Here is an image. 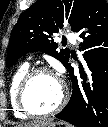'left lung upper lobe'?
I'll use <instances>...</instances> for the list:
<instances>
[{"mask_svg":"<svg viewBox=\"0 0 108 127\" xmlns=\"http://www.w3.org/2000/svg\"><path fill=\"white\" fill-rule=\"evenodd\" d=\"M84 2L85 0H37L24 11L11 34L7 54L8 68L25 53L36 51L55 57L66 67L70 52L67 49L57 50L52 37L64 25H70L74 30ZM100 72L96 66L91 70L95 85Z\"/></svg>","mask_w":108,"mask_h":127,"instance_id":"1","label":"left lung upper lobe"}]
</instances>
